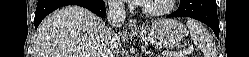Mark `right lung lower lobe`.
<instances>
[{"instance_id": "98d812e1", "label": "right lung lower lobe", "mask_w": 249, "mask_h": 57, "mask_svg": "<svg viewBox=\"0 0 249 57\" xmlns=\"http://www.w3.org/2000/svg\"><path fill=\"white\" fill-rule=\"evenodd\" d=\"M79 5L85 7L100 17H105L106 6L103 0H39L36 13H35V28L38 27L40 22L55 9L67 6Z\"/></svg>"}]
</instances>
